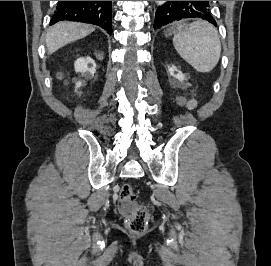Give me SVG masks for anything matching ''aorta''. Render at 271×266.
<instances>
[{
    "instance_id": "aorta-1",
    "label": "aorta",
    "mask_w": 271,
    "mask_h": 266,
    "mask_svg": "<svg viewBox=\"0 0 271 266\" xmlns=\"http://www.w3.org/2000/svg\"><path fill=\"white\" fill-rule=\"evenodd\" d=\"M166 1H156L158 5H163Z\"/></svg>"
}]
</instances>
